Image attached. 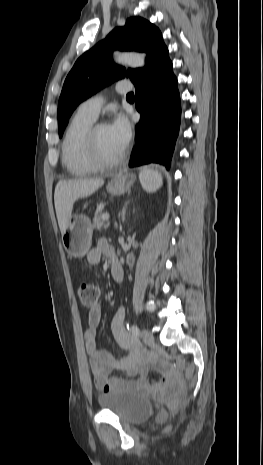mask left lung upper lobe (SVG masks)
Here are the masks:
<instances>
[{"label":"left lung upper lobe","instance_id":"obj_1","mask_svg":"<svg viewBox=\"0 0 263 465\" xmlns=\"http://www.w3.org/2000/svg\"><path fill=\"white\" fill-rule=\"evenodd\" d=\"M165 45L162 34L149 21L132 17L124 27L115 28L105 40L78 58L69 72L59 98L58 131L61 137L69 117L76 107L106 85L129 77L132 80L143 69H129L116 66L111 57L115 49L138 51L147 54V63L155 51Z\"/></svg>","mask_w":263,"mask_h":465}]
</instances>
